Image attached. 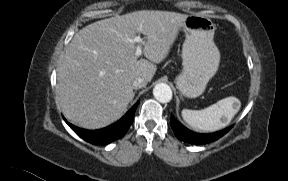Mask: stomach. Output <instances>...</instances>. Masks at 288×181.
Returning <instances> with one entry per match:
<instances>
[{"label":"stomach","mask_w":288,"mask_h":181,"mask_svg":"<svg viewBox=\"0 0 288 181\" xmlns=\"http://www.w3.org/2000/svg\"><path fill=\"white\" fill-rule=\"evenodd\" d=\"M182 29L186 35L182 48L183 70L175 81L182 95L196 98L203 94L218 70L220 52L213 41L216 26L205 16L187 15Z\"/></svg>","instance_id":"obj_1"}]
</instances>
